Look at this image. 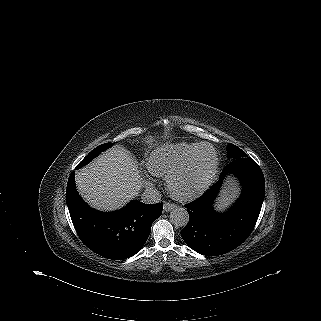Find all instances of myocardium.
Instances as JSON below:
<instances>
[{
	"instance_id": "myocardium-1",
	"label": "myocardium",
	"mask_w": 321,
	"mask_h": 321,
	"mask_svg": "<svg viewBox=\"0 0 321 321\" xmlns=\"http://www.w3.org/2000/svg\"><path fill=\"white\" fill-rule=\"evenodd\" d=\"M205 147L212 149L213 154H214V158H215L214 165H213L210 175L208 176L206 181L203 183V185L200 186L198 189H196L192 192L186 193V194H182V193L177 192L174 189L175 179L190 170V168L192 167L193 161H194L196 155L198 154L199 150H201L202 148H205ZM218 165H219V157H218V153H217L215 147L210 143H200L182 164H180L178 167L174 168L166 176V187H167L168 192L176 199L183 200V201L192 200V199L196 198L202 192H204L209 187V185L212 183V181L214 180V178L216 177V174L218 172Z\"/></svg>"
}]
</instances>
